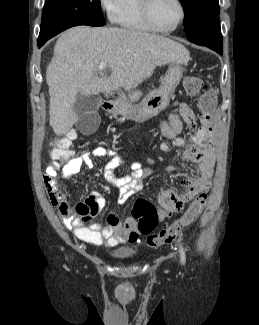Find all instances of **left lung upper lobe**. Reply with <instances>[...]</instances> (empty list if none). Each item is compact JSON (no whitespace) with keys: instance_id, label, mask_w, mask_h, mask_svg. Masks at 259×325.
<instances>
[{"instance_id":"obj_1","label":"left lung upper lobe","mask_w":259,"mask_h":325,"mask_svg":"<svg viewBox=\"0 0 259 325\" xmlns=\"http://www.w3.org/2000/svg\"><path fill=\"white\" fill-rule=\"evenodd\" d=\"M184 11V28L191 42L214 39L220 32L218 0H180Z\"/></svg>"}]
</instances>
